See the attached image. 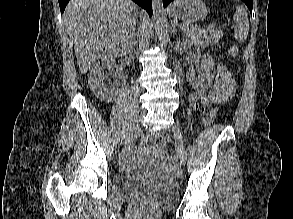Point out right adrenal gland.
Masks as SVG:
<instances>
[{"label":"right adrenal gland","mask_w":293,"mask_h":219,"mask_svg":"<svg viewBox=\"0 0 293 219\" xmlns=\"http://www.w3.org/2000/svg\"><path fill=\"white\" fill-rule=\"evenodd\" d=\"M135 30V29H134ZM135 33V32H134ZM135 46V38L133 39L132 47Z\"/></svg>","instance_id":"obj_1"}]
</instances>
